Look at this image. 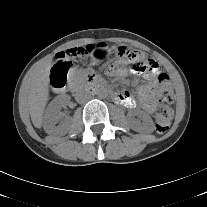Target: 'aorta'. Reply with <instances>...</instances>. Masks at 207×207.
I'll use <instances>...</instances> for the list:
<instances>
[{
	"label": "aorta",
	"mask_w": 207,
	"mask_h": 207,
	"mask_svg": "<svg viewBox=\"0 0 207 207\" xmlns=\"http://www.w3.org/2000/svg\"><path fill=\"white\" fill-rule=\"evenodd\" d=\"M108 96V91L104 88H101L99 91H98V97L101 98V99H104Z\"/></svg>",
	"instance_id": "1"
}]
</instances>
